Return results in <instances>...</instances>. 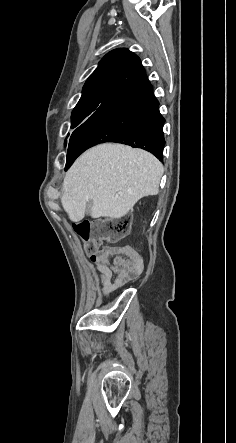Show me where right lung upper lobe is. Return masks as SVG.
<instances>
[{
    "mask_svg": "<svg viewBox=\"0 0 236 443\" xmlns=\"http://www.w3.org/2000/svg\"><path fill=\"white\" fill-rule=\"evenodd\" d=\"M145 74L137 55L125 48L115 49L102 58L87 79L78 104L127 89Z\"/></svg>",
    "mask_w": 236,
    "mask_h": 443,
    "instance_id": "1",
    "label": "right lung upper lobe"
}]
</instances>
